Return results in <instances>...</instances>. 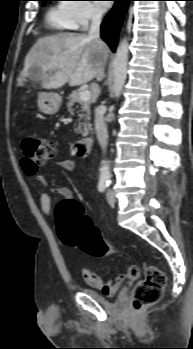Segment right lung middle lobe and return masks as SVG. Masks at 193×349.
Returning a JSON list of instances; mask_svg holds the SVG:
<instances>
[{"label": "right lung middle lobe", "instance_id": "obj_1", "mask_svg": "<svg viewBox=\"0 0 193 349\" xmlns=\"http://www.w3.org/2000/svg\"><path fill=\"white\" fill-rule=\"evenodd\" d=\"M41 1H44V3H45L47 0H41Z\"/></svg>", "mask_w": 193, "mask_h": 349}]
</instances>
